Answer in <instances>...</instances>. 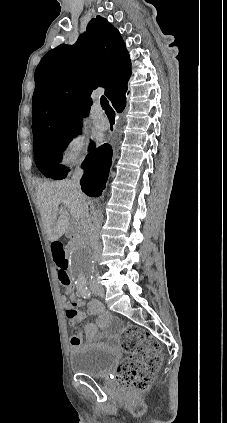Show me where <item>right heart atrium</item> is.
<instances>
[{"label":"right heart atrium","instance_id":"obj_1","mask_svg":"<svg viewBox=\"0 0 227 423\" xmlns=\"http://www.w3.org/2000/svg\"><path fill=\"white\" fill-rule=\"evenodd\" d=\"M87 158L88 143L86 137L82 134H72L64 141L58 162L62 167L71 169L83 165Z\"/></svg>","mask_w":227,"mask_h":423}]
</instances>
